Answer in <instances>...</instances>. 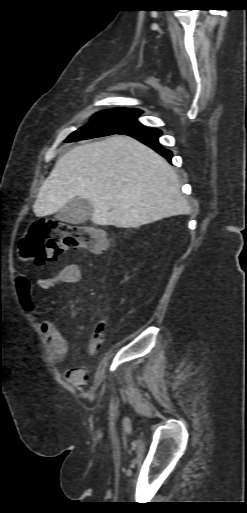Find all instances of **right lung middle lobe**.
<instances>
[{"label": "right lung middle lobe", "instance_id": "right-lung-middle-lobe-1", "mask_svg": "<svg viewBox=\"0 0 247 513\" xmlns=\"http://www.w3.org/2000/svg\"><path fill=\"white\" fill-rule=\"evenodd\" d=\"M141 111L136 109L114 108L101 111L92 117L87 126L73 132L64 142L117 134L126 128L140 124L137 116Z\"/></svg>", "mask_w": 247, "mask_h": 513}]
</instances>
